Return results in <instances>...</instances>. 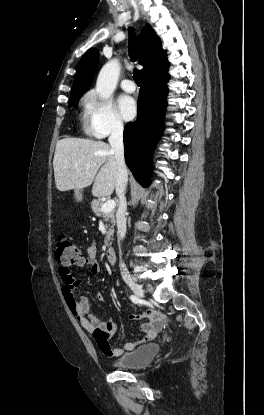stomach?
I'll return each mask as SVG.
<instances>
[{"label": "stomach", "instance_id": "1", "mask_svg": "<svg viewBox=\"0 0 264 415\" xmlns=\"http://www.w3.org/2000/svg\"><path fill=\"white\" fill-rule=\"evenodd\" d=\"M74 197L76 199V201H81L82 200V190L81 189H76L75 193H74Z\"/></svg>", "mask_w": 264, "mask_h": 415}]
</instances>
